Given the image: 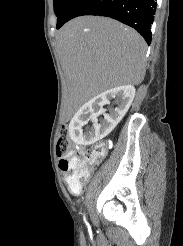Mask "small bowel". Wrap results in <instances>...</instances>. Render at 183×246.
Returning a JSON list of instances; mask_svg holds the SVG:
<instances>
[{
  "instance_id": "c3829d8e",
  "label": "small bowel",
  "mask_w": 183,
  "mask_h": 246,
  "mask_svg": "<svg viewBox=\"0 0 183 246\" xmlns=\"http://www.w3.org/2000/svg\"><path fill=\"white\" fill-rule=\"evenodd\" d=\"M73 155V152H70L68 155H67V157H71ZM65 181H66V183L68 184V186H69V189H70V179H69V177H68V175H66L65 174ZM82 190V189H81ZM81 190H79V191H77V192H73V191H71L73 194H79L80 192H81Z\"/></svg>"
}]
</instances>
